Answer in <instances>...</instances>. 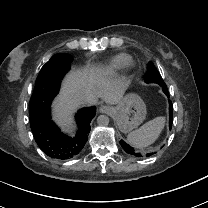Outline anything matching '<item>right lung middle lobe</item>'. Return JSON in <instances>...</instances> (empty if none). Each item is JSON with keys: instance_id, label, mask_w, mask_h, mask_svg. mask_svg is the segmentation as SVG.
Instances as JSON below:
<instances>
[{"instance_id": "1", "label": "right lung middle lobe", "mask_w": 208, "mask_h": 208, "mask_svg": "<svg viewBox=\"0 0 208 208\" xmlns=\"http://www.w3.org/2000/svg\"><path fill=\"white\" fill-rule=\"evenodd\" d=\"M52 58L64 60L67 63V65H66L67 67L65 70H69V65L72 60V57L69 54L60 53V54H56V55L52 56L51 59ZM29 114H31V113L29 112Z\"/></svg>"}]
</instances>
